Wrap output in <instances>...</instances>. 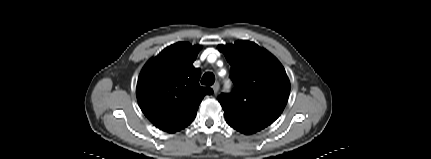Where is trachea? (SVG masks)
Segmentation results:
<instances>
[{"label": "trachea", "mask_w": 431, "mask_h": 159, "mask_svg": "<svg viewBox=\"0 0 431 159\" xmlns=\"http://www.w3.org/2000/svg\"><path fill=\"white\" fill-rule=\"evenodd\" d=\"M214 82H215V76L211 72H206L201 79V84L206 86H211L214 84Z\"/></svg>", "instance_id": "3493384b"}]
</instances>
